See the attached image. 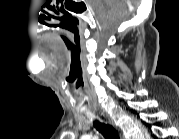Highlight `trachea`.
<instances>
[{
  "label": "trachea",
  "instance_id": "3493384b",
  "mask_svg": "<svg viewBox=\"0 0 179 139\" xmlns=\"http://www.w3.org/2000/svg\"><path fill=\"white\" fill-rule=\"evenodd\" d=\"M94 127L104 136L105 139H119L116 130L108 124L96 120L94 122Z\"/></svg>",
  "mask_w": 179,
  "mask_h": 139
}]
</instances>
